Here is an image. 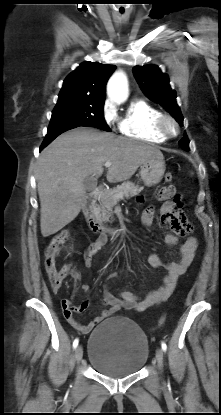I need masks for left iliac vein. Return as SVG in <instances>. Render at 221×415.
Listing matches in <instances>:
<instances>
[{
    "mask_svg": "<svg viewBox=\"0 0 221 415\" xmlns=\"http://www.w3.org/2000/svg\"><path fill=\"white\" fill-rule=\"evenodd\" d=\"M156 360L158 367L162 370L163 367V350L158 348L156 351Z\"/></svg>",
    "mask_w": 221,
    "mask_h": 415,
    "instance_id": "1",
    "label": "left iliac vein"
}]
</instances>
